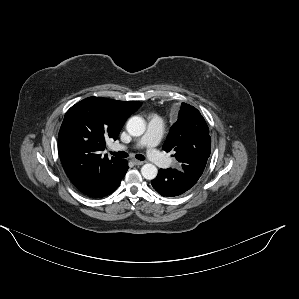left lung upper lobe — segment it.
Listing matches in <instances>:
<instances>
[{
	"label": "left lung upper lobe",
	"instance_id": "5c2ea615",
	"mask_svg": "<svg viewBox=\"0 0 299 299\" xmlns=\"http://www.w3.org/2000/svg\"><path fill=\"white\" fill-rule=\"evenodd\" d=\"M163 149L173 151L179 169L199 180L210 156L211 137L203 116L195 107L182 103L178 120L171 127Z\"/></svg>",
	"mask_w": 299,
	"mask_h": 299
}]
</instances>
